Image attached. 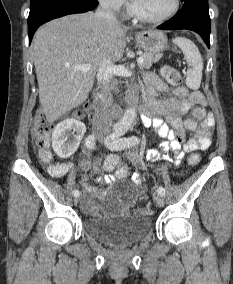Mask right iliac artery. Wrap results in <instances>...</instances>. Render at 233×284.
<instances>
[{"instance_id":"obj_1","label":"right iliac artery","mask_w":233,"mask_h":284,"mask_svg":"<svg viewBox=\"0 0 233 284\" xmlns=\"http://www.w3.org/2000/svg\"><path fill=\"white\" fill-rule=\"evenodd\" d=\"M95 136L93 134L89 135L86 139H85V146L89 149V150H93L95 147ZM80 192L79 190H74L73 191V195L74 197L79 196Z\"/></svg>"}]
</instances>
